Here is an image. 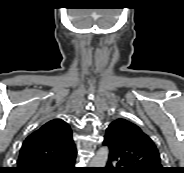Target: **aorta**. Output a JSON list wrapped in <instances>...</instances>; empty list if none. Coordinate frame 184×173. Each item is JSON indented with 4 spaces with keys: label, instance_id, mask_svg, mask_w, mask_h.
Returning a JSON list of instances; mask_svg holds the SVG:
<instances>
[{
    "label": "aorta",
    "instance_id": "aorta-1",
    "mask_svg": "<svg viewBox=\"0 0 184 173\" xmlns=\"http://www.w3.org/2000/svg\"><path fill=\"white\" fill-rule=\"evenodd\" d=\"M108 156L109 149L107 147H101L92 158L90 165L92 167H105L108 161Z\"/></svg>",
    "mask_w": 184,
    "mask_h": 173
}]
</instances>
